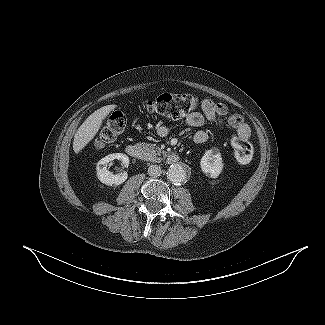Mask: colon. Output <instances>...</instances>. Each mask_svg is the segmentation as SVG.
I'll use <instances>...</instances> for the list:
<instances>
[{
	"instance_id": "1",
	"label": "colon",
	"mask_w": 325,
	"mask_h": 325,
	"mask_svg": "<svg viewBox=\"0 0 325 325\" xmlns=\"http://www.w3.org/2000/svg\"><path fill=\"white\" fill-rule=\"evenodd\" d=\"M198 105L195 96L186 93H163L146 101L145 108L149 113L163 116L169 120H178L188 116ZM126 117L119 111L112 112L99 130L96 144L102 146L115 141L125 131ZM235 159L246 164L253 158L251 143L235 136L232 139Z\"/></svg>"
}]
</instances>
